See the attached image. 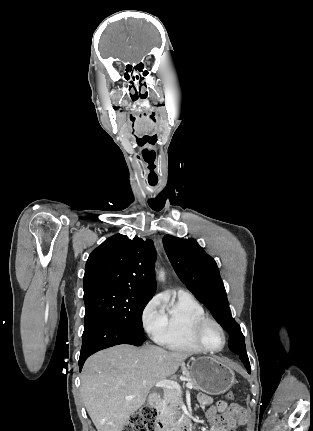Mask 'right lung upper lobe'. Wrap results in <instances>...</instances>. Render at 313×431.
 I'll use <instances>...</instances> for the list:
<instances>
[{"label":"right lung upper lobe","instance_id":"1","mask_svg":"<svg viewBox=\"0 0 313 431\" xmlns=\"http://www.w3.org/2000/svg\"><path fill=\"white\" fill-rule=\"evenodd\" d=\"M155 260L152 240L129 239L122 234L109 237L86 262L84 296L124 288L152 297L156 290Z\"/></svg>","mask_w":313,"mask_h":431}]
</instances>
